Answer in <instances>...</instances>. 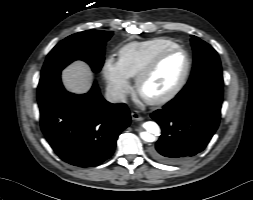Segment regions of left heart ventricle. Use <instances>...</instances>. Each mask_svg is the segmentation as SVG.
Wrapping results in <instances>:
<instances>
[{
  "label": "left heart ventricle",
  "instance_id": "1",
  "mask_svg": "<svg viewBox=\"0 0 253 200\" xmlns=\"http://www.w3.org/2000/svg\"><path fill=\"white\" fill-rule=\"evenodd\" d=\"M185 67L186 58L183 53L169 54L143 83V95L148 98H155L167 93L179 81Z\"/></svg>",
  "mask_w": 253,
  "mask_h": 200
}]
</instances>
